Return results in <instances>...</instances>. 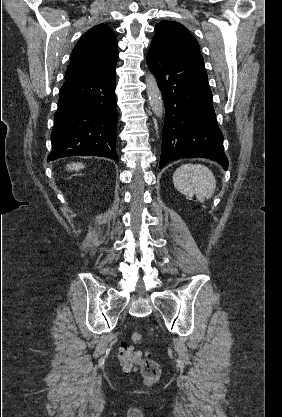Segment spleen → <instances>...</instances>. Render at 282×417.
Returning <instances> with one entry per match:
<instances>
[{
  "label": "spleen",
  "mask_w": 282,
  "mask_h": 417,
  "mask_svg": "<svg viewBox=\"0 0 282 417\" xmlns=\"http://www.w3.org/2000/svg\"><path fill=\"white\" fill-rule=\"evenodd\" d=\"M176 188L186 194L187 198L196 194L199 202H204L205 198H211L214 188H216L215 176L204 164H181L173 174Z\"/></svg>",
  "instance_id": "spleen-1"
}]
</instances>
